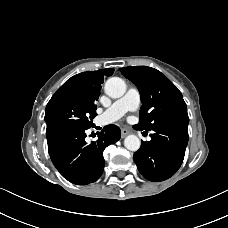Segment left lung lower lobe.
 <instances>
[{
	"label": "left lung lower lobe",
	"instance_id": "obj_1",
	"mask_svg": "<svg viewBox=\"0 0 228 228\" xmlns=\"http://www.w3.org/2000/svg\"><path fill=\"white\" fill-rule=\"evenodd\" d=\"M150 141H142L134 153L140 173L150 181L170 178L180 168L188 143V125H166L153 130Z\"/></svg>",
	"mask_w": 228,
	"mask_h": 228
}]
</instances>
